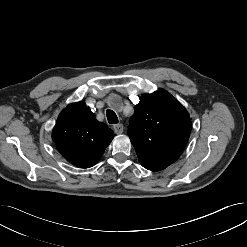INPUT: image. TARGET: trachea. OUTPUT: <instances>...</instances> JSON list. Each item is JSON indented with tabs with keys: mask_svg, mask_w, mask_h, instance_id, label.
Instances as JSON below:
<instances>
[{
	"mask_svg": "<svg viewBox=\"0 0 247 247\" xmlns=\"http://www.w3.org/2000/svg\"><path fill=\"white\" fill-rule=\"evenodd\" d=\"M106 115H107V120L110 124L118 123L117 115L115 114V112L113 110L108 109L106 111Z\"/></svg>",
	"mask_w": 247,
	"mask_h": 247,
	"instance_id": "3493384b",
	"label": "trachea"
}]
</instances>
